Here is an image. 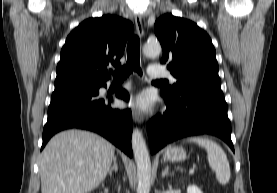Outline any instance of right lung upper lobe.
<instances>
[{
  "label": "right lung upper lobe",
  "mask_w": 277,
  "mask_h": 193,
  "mask_svg": "<svg viewBox=\"0 0 277 193\" xmlns=\"http://www.w3.org/2000/svg\"><path fill=\"white\" fill-rule=\"evenodd\" d=\"M133 24L116 15L89 18L67 37L60 54L55 90L94 88L106 85L107 67L120 58Z\"/></svg>",
  "instance_id": "cb5924a9"
}]
</instances>
